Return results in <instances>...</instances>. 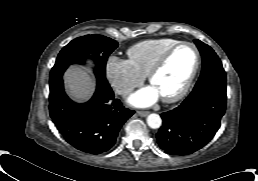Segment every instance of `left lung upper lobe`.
Masks as SVG:
<instances>
[{"label": "left lung upper lobe", "instance_id": "1", "mask_svg": "<svg viewBox=\"0 0 258 181\" xmlns=\"http://www.w3.org/2000/svg\"><path fill=\"white\" fill-rule=\"evenodd\" d=\"M202 55V72L194 88L208 81H226V74L221 61L213 49L200 40H194Z\"/></svg>", "mask_w": 258, "mask_h": 181}]
</instances>
